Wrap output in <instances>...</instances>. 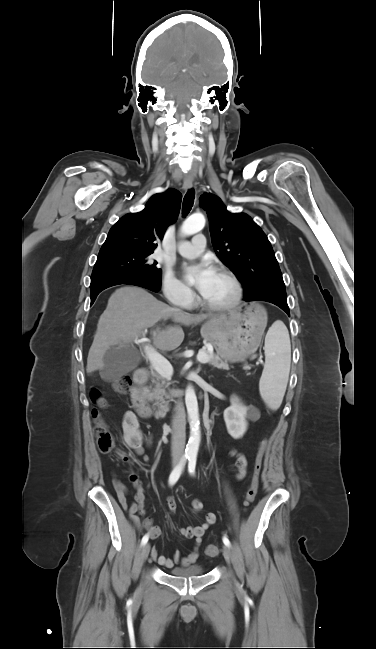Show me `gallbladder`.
Instances as JSON below:
<instances>
[{"mask_svg": "<svg viewBox=\"0 0 376 649\" xmlns=\"http://www.w3.org/2000/svg\"><path fill=\"white\" fill-rule=\"evenodd\" d=\"M139 361V354L132 347L112 346L103 356V367L100 376L103 380H116L134 369Z\"/></svg>", "mask_w": 376, "mask_h": 649, "instance_id": "gallbladder-1", "label": "gallbladder"}]
</instances>
